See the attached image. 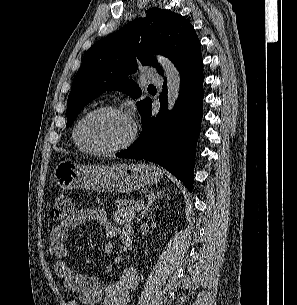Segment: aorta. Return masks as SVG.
<instances>
[{"label":"aorta","mask_w":297,"mask_h":305,"mask_svg":"<svg viewBox=\"0 0 297 305\" xmlns=\"http://www.w3.org/2000/svg\"><path fill=\"white\" fill-rule=\"evenodd\" d=\"M157 59L164 70V74L167 79V100H168V109L171 110L179 96L181 76L178 69L174 64L167 58L163 56H157Z\"/></svg>","instance_id":"aorta-1"}]
</instances>
